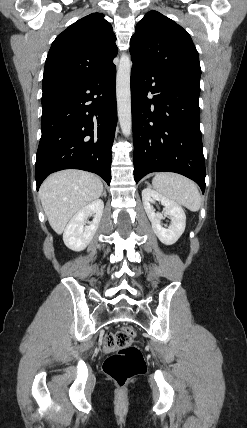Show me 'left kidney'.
I'll list each match as a JSON object with an SVG mask.
<instances>
[{"instance_id":"5707ae66","label":"left kidney","mask_w":247,"mask_h":428,"mask_svg":"<svg viewBox=\"0 0 247 428\" xmlns=\"http://www.w3.org/2000/svg\"><path fill=\"white\" fill-rule=\"evenodd\" d=\"M142 201L147 216L152 224V229L159 240L165 245L174 244L183 234L186 226V215L183 208L175 201L157 193L150 187L142 191ZM155 201L161 202L164 206L162 213H156L152 207ZM165 216L171 218V225L168 228L161 226V220Z\"/></svg>"}]
</instances>
